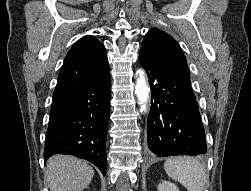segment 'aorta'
I'll use <instances>...</instances> for the list:
<instances>
[{
	"label": "aorta",
	"instance_id": "762f6f07",
	"mask_svg": "<svg viewBox=\"0 0 251 191\" xmlns=\"http://www.w3.org/2000/svg\"><path fill=\"white\" fill-rule=\"evenodd\" d=\"M145 72H142V70H138L136 72V76H138L136 80V86H135V94L138 99L139 105H141V109L143 111H146L147 107V101L149 99V86L146 84Z\"/></svg>",
	"mask_w": 251,
	"mask_h": 191
}]
</instances>
